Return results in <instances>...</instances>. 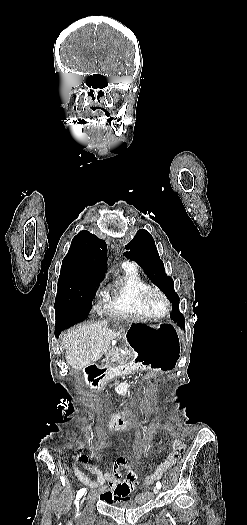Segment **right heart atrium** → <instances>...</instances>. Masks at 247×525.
Listing matches in <instances>:
<instances>
[{"label":"right heart atrium","mask_w":247,"mask_h":525,"mask_svg":"<svg viewBox=\"0 0 247 525\" xmlns=\"http://www.w3.org/2000/svg\"><path fill=\"white\" fill-rule=\"evenodd\" d=\"M100 297H101V291L98 287H95L93 290V295H92V305H93V309L96 311H100L101 306L105 302H107L105 300H100Z\"/></svg>","instance_id":"obj_1"}]
</instances>
